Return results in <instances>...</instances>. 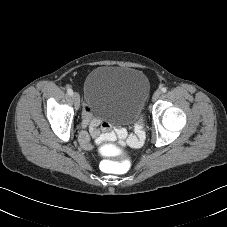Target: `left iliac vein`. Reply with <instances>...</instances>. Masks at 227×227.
Masks as SVG:
<instances>
[{
  "label": "left iliac vein",
  "mask_w": 227,
  "mask_h": 227,
  "mask_svg": "<svg viewBox=\"0 0 227 227\" xmlns=\"http://www.w3.org/2000/svg\"><path fill=\"white\" fill-rule=\"evenodd\" d=\"M161 95V91L157 90L155 91V93L153 94V100H157Z\"/></svg>",
  "instance_id": "1"
}]
</instances>
